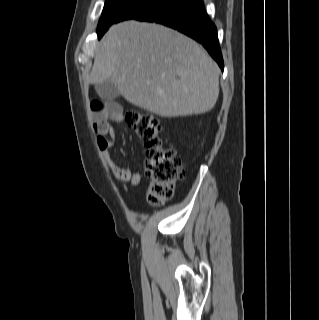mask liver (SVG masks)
<instances>
[{
	"label": "liver",
	"mask_w": 319,
	"mask_h": 320,
	"mask_svg": "<svg viewBox=\"0 0 319 320\" xmlns=\"http://www.w3.org/2000/svg\"><path fill=\"white\" fill-rule=\"evenodd\" d=\"M220 69L194 40L163 25L124 21L102 39L90 83L111 80L129 103L161 117L210 111Z\"/></svg>",
	"instance_id": "liver-1"
}]
</instances>
